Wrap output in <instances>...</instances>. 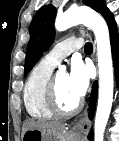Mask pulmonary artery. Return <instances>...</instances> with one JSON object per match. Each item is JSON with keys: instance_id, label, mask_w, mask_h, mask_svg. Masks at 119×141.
I'll list each match as a JSON object with an SVG mask.
<instances>
[{"instance_id": "e3ab8cb5", "label": "pulmonary artery", "mask_w": 119, "mask_h": 141, "mask_svg": "<svg viewBox=\"0 0 119 141\" xmlns=\"http://www.w3.org/2000/svg\"><path fill=\"white\" fill-rule=\"evenodd\" d=\"M83 42L81 39L70 37L55 45L44 57V61L57 66L60 62L70 55L73 51L79 49Z\"/></svg>"}]
</instances>
